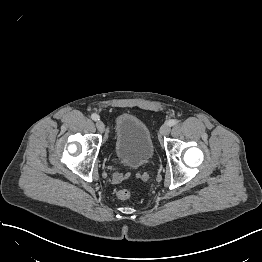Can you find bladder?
Wrapping results in <instances>:
<instances>
[{
    "label": "bladder",
    "mask_w": 262,
    "mask_h": 262,
    "mask_svg": "<svg viewBox=\"0 0 262 262\" xmlns=\"http://www.w3.org/2000/svg\"><path fill=\"white\" fill-rule=\"evenodd\" d=\"M115 153L125 165L138 168L152 157L154 145L146 124L136 116L117 118L115 129Z\"/></svg>",
    "instance_id": "1"
}]
</instances>
